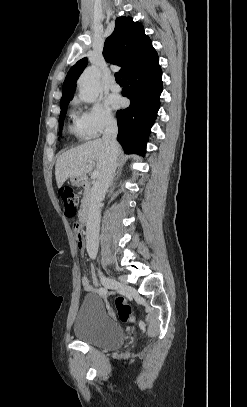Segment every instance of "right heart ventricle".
<instances>
[{
  "mask_svg": "<svg viewBox=\"0 0 247 407\" xmlns=\"http://www.w3.org/2000/svg\"><path fill=\"white\" fill-rule=\"evenodd\" d=\"M69 130L71 133L75 134L77 137L84 138L83 133L76 122V119H75V122L69 126Z\"/></svg>",
  "mask_w": 247,
  "mask_h": 407,
  "instance_id": "obj_1",
  "label": "right heart ventricle"
}]
</instances>
